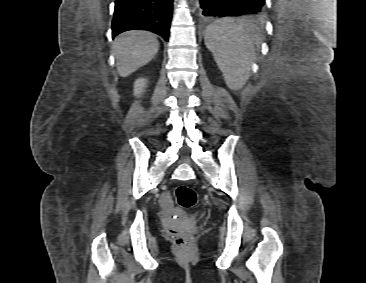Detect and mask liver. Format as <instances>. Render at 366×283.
I'll return each instance as SVG.
<instances>
[{"label":"liver","mask_w":366,"mask_h":283,"mask_svg":"<svg viewBox=\"0 0 366 283\" xmlns=\"http://www.w3.org/2000/svg\"><path fill=\"white\" fill-rule=\"evenodd\" d=\"M117 70L127 77L149 63L159 50L156 35L145 30H129L118 35L113 43Z\"/></svg>","instance_id":"obj_1"}]
</instances>
